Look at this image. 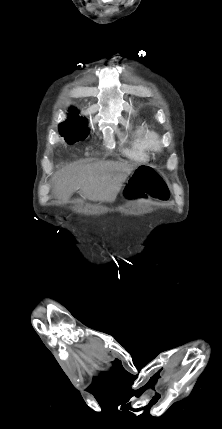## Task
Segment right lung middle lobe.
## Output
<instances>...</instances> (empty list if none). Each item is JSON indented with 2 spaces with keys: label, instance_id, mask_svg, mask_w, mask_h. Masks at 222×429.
Here are the masks:
<instances>
[{
  "label": "right lung middle lobe",
  "instance_id": "right-lung-middle-lobe-1",
  "mask_svg": "<svg viewBox=\"0 0 222 429\" xmlns=\"http://www.w3.org/2000/svg\"><path fill=\"white\" fill-rule=\"evenodd\" d=\"M87 120L79 118L77 109H71L67 121L59 125V132L65 141L74 144L77 141L84 140L89 131L86 129Z\"/></svg>",
  "mask_w": 222,
  "mask_h": 429
}]
</instances>
